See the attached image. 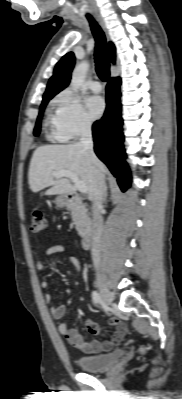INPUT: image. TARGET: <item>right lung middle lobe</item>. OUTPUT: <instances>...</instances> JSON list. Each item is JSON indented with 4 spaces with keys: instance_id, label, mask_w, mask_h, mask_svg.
I'll return each mask as SVG.
<instances>
[{
    "instance_id": "right-lung-middle-lobe-1",
    "label": "right lung middle lobe",
    "mask_w": 182,
    "mask_h": 399,
    "mask_svg": "<svg viewBox=\"0 0 182 399\" xmlns=\"http://www.w3.org/2000/svg\"><path fill=\"white\" fill-rule=\"evenodd\" d=\"M50 99L51 98H47V99H43V101H42V104L40 106L39 115H38L37 122H36V126H35V129H34V135L35 136H38L39 133H40V125H41V119H42V116H43V112H44L45 106L47 105V103H48V101Z\"/></svg>"
}]
</instances>
